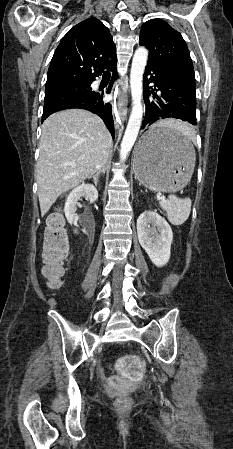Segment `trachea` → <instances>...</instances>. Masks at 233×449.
Wrapping results in <instances>:
<instances>
[{
  "label": "trachea",
  "instance_id": "3493384b",
  "mask_svg": "<svg viewBox=\"0 0 233 449\" xmlns=\"http://www.w3.org/2000/svg\"><path fill=\"white\" fill-rule=\"evenodd\" d=\"M104 74H109V72H108V71H105Z\"/></svg>",
  "mask_w": 233,
  "mask_h": 449
}]
</instances>
